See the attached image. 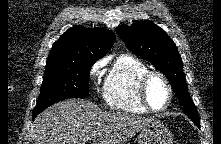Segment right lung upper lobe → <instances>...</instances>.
Listing matches in <instances>:
<instances>
[{
  "label": "right lung upper lobe",
  "mask_w": 221,
  "mask_h": 144,
  "mask_svg": "<svg viewBox=\"0 0 221 144\" xmlns=\"http://www.w3.org/2000/svg\"><path fill=\"white\" fill-rule=\"evenodd\" d=\"M114 41L112 31L75 26L54 42L47 63L96 62L107 53Z\"/></svg>",
  "instance_id": "right-lung-upper-lobe-1"
}]
</instances>
